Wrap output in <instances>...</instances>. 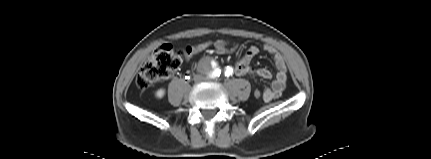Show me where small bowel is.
<instances>
[{
	"label": "small bowel",
	"mask_w": 431,
	"mask_h": 159,
	"mask_svg": "<svg viewBox=\"0 0 431 159\" xmlns=\"http://www.w3.org/2000/svg\"><path fill=\"white\" fill-rule=\"evenodd\" d=\"M210 46L213 49H232L236 50L237 46L227 40H216L214 42H203L195 46H190L186 49V58L190 60L193 56L205 51ZM263 50L273 57L277 73L272 81L271 87L264 89L262 100L270 102L278 98L286 87L287 82V66L282 55L276 50L275 47L269 44L263 46ZM259 53V48L251 46L247 49L245 54L236 62L234 67H229L232 73L238 76L255 75L264 79H271L272 73L266 68L255 69L251 66V60Z\"/></svg>",
	"instance_id": "obj_1"
}]
</instances>
